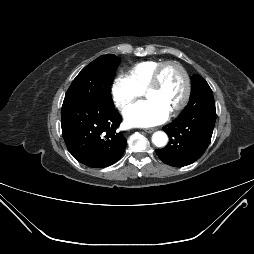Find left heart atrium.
Segmentation results:
<instances>
[{
	"label": "left heart atrium",
	"mask_w": 254,
	"mask_h": 254,
	"mask_svg": "<svg viewBox=\"0 0 254 254\" xmlns=\"http://www.w3.org/2000/svg\"><path fill=\"white\" fill-rule=\"evenodd\" d=\"M169 111L154 100L148 99L124 109L123 116L130 126L149 127L164 122Z\"/></svg>",
	"instance_id": "left-heart-atrium-1"
}]
</instances>
